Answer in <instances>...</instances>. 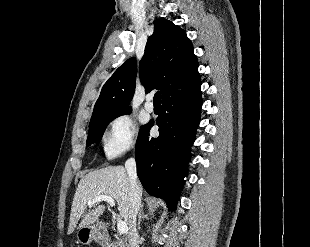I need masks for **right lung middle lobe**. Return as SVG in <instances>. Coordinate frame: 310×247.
I'll use <instances>...</instances> for the list:
<instances>
[{
  "label": "right lung middle lobe",
  "instance_id": "1",
  "mask_svg": "<svg viewBox=\"0 0 310 247\" xmlns=\"http://www.w3.org/2000/svg\"><path fill=\"white\" fill-rule=\"evenodd\" d=\"M129 113H131V110L120 113L118 115H114V116L102 117L100 119L95 120L94 122H91L89 124V135H88L87 144L88 145H91L92 143L98 144V142L102 138V135L108 123L118 116L129 114Z\"/></svg>",
  "mask_w": 310,
  "mask_h": 247
}]
</instances>
